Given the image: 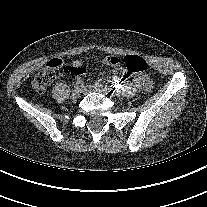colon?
I'll use <instances>...</instances> for the list:
<instances>
[{
    "label": "colon",
    "mask_w": 207,
    "mask_h": 207,
    "mask_svg": "<svg viewBox=\"0 0 207 207\" xmlns=\"http://www.w3.org/2000/svg\"><path fill=\"white\" fill-rule=\"evenodd\" d=\"M126 68L132 73H142L147 70V62L138 55H127L124 58ZM62 66V60L55 59L47 67L40 70L32 78V86L36 93L42 95L55 78V70ZM66 68V67H65ZM71 69V68H70Z\"/></svg>",
    "instance_id": "1"
}]
</instances>
